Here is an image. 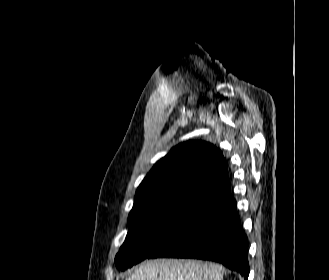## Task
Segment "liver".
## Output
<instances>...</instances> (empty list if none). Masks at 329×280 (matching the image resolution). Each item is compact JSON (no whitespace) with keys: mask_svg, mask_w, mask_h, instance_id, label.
<instances>
[{"mask_svg":"<svg viewBox=\"0 0 329 280\" xmlns=\"http://www.w3.org/2000/svg\"><path fill=\"white\" fill-rule=\"evenodd\" d=\"M222 270L214 263L156 259L142 262L126 280H222Z\"/></svg>","mask_w":329,"mask_h":280,"instance_id":"liver-1","label":"liver"}]
</instances>
